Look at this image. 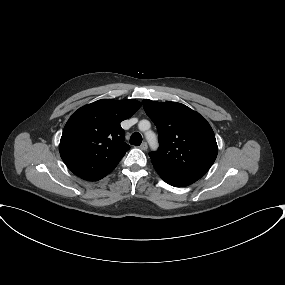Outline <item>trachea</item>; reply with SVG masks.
Wrapping results in <instances>:
<instances>
[{"mask_svg": "<svg viewBox=\"0 0 285 285\" xmlns=\"http://www.w3.org/2000/svg\"><path fill=\"white\" fill-rule=\"evenodd\" d=\"M142 142V136L140 133L135 132L131 135L130 137V144L131 145H135V146H139Z\"/></svg>", "mask_w": 285, "mask_h": 285, "instance_id": "1", "label": "trachea"}]
</instances>
